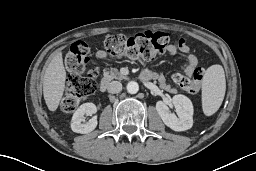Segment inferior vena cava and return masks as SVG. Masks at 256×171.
Segmentation results:
<instances>
[{
	"label": "inferior vena cava",
	"instance_id": "602c4592",
	"mask_svg": "<svg viewBox=\"0 0 256 171\" xmlns=\"http://www.w3.org/2000/svg\"><path fill=\"white\" fill-rule=\"evenodd\" d=\"M107 91L116 94L122 91V84L119 81H112L107 86Z\"/></svg>",
	"mask_w": 256,
	"mask_h": 171
}]
</instances>
